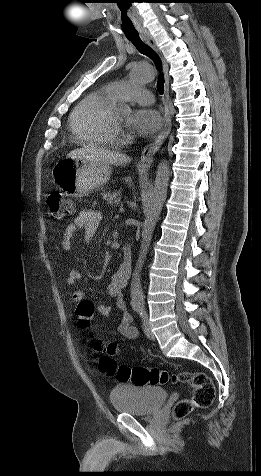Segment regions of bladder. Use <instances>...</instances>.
Returning <instances> with one entry per match:
<instances>
[{
	"label": "bladder",
	"instance_id": "obj_1",
	"mask_svg": "<svg viewBox=\"0 0 261 476\" xmlns=\"http://www.w3.org/2000/svg\"><path fill=\"white\" fill-rule=\"evenodd\" d=\"M166 398L165 389L156 385L121 384L114 387L110 393L114 409L132 416H149L155 413Z\"/></svg>",
	"mask_w": 261,
	"mask_h": 476
}]
</instances>
